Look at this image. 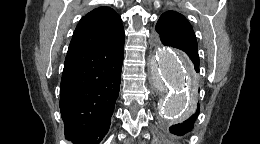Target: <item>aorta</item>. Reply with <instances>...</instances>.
<instances>
[{"label":"aorta","mask_w":260,"mask_h":144,"mask_svg":"<svg viewBox=\"0 0 260 144\" xmlns=\"http://www.w3.org/2000/svg\"><path fill=\"white\" fill-rule=\"evenodd\" d=\"M151 68L154 86L168 91L161 102L164 115L172 117L187 111L193 71L188 58L177 50L160 46L153 55Z\"/></svg>","instance_id":"762f6f07"}]
</instances>
